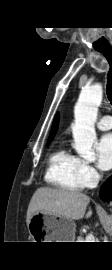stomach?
Masks as SVG:
<instances>
[{
	"mask_svg": "<svg viewBox=\"0 0 112 270\" xmlns=\"http://www.w3.org/2000/svg\"><path fill=\"white\" fill-rule=\"evenodd\" d=\"M27 226L34 242H74L75 239V222L64 216L39 212Z\"/></svg>",
	"mask_w": 112,
	"mask_h": 270,
	"instance_id": "0dacf381",
	"label": "stomach"
}]
</instances>
